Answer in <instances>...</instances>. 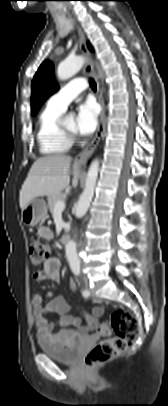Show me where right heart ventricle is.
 I'll return each instance as SVG.
<instances>
[{
  "instance_id": "right-heart-ventricle-1",
  "label": "right heart ventricle",
  "mask_w": 168,
  "mask_h": 406,
  "mask_svg": "<svg viewBox=\"0 0 168 406\" xmlns=\"http://www.w3.org/2000/svg\"><path fill=\"white\" fill-rule=\"evenodd\" d=\"M63 110L46 106L39 116L37 141L42 154L52 155L66 152L71 139L60 128L59 118Z\"/></svg>"
}]
</instances>
